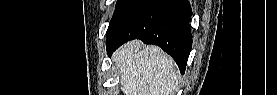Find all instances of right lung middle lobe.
<instances>
[{
    "instance_id": "1",
    "label": "right lung middle lobe",
    "mask_w": 277,
    "mask_h": 95,
    "mask_svg": "<svg viewBox=\"0 0 277 95\" xmlns=\"http://www.w3.org/2000/svg\"><path fill=\"white\" fill-rule=\"evenodd\" d=\"M146 0H118L110 21L106 39Z\"/></svg>"
}]
</instances>
